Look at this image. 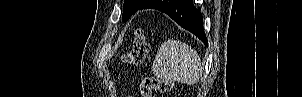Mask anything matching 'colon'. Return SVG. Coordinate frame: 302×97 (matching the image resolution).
Wrapping results in <instances>:
<instances>
[{"label":"colon","instance_id":"5ec220e1","mask_svg":"<svg viewBox=\"0 0 302 97\" xmlns=\"http://www.w3.org/2000/svg\"><path fill=\"white\" fill-rule=\"evenodd\" d=\"M149 50V44L141 29H136L132 47L126 51L122 60L126 64L136 65L144 61ZM171 83L156 77H146L141 83V95L143 97H153L155 92H166L171 88Z\"/></svg>","mask_w":302,"mask_h":97}]
</instances>
